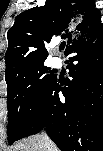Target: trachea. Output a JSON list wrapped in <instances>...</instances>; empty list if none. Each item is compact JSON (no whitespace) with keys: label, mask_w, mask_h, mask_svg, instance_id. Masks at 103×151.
<instances>
[{"label":"trachea","mask_w":103,"mask_h":151,"mask_svg":"<svg viewBox=\"0 0 103 151\" xmlns=\"http://www.w3.org/2000/svg\"><path fill=\"white\" fill-rule=\"evenodd\" d=\"M65 45H66V43H65V42H62V43L60 44V46H59V49H60V50H63V49L65 48Z\"/></svg>","instance_id":"3493384b"}]
</instances>
